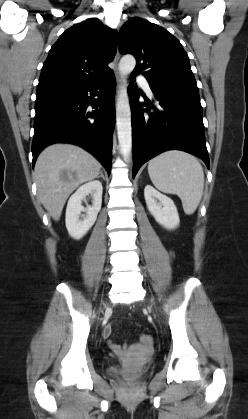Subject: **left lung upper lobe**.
Segmentation results:
<instances>
[{"label": "left lung upper lobe", "mask_w": 248, "mask_h": 419, "mask_svg": "<svg viewBox=\"0 0 248 419\" xmlns=\"http://www.w3.org/2000/svg\"><path fill=\"white\" fill-rule=\"evenodd\" d=\"M119 50L135 56L137 64L132 74L143 73L150 88L198 94L188 55L166 29L139 17L131 18L120 29Z\"/></svg>", "instance_id": "5c2ea615"}]
</instances>
